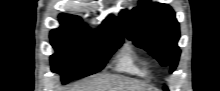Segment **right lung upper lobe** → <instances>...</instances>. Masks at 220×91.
<instances>
[{"instance_id": "1", "label": "right lung upper lobe", "mask_w": 220, "mask_h": 91, "mask_svg": "<svg viewBox=\"0 0 220 91\" xmlns=\"http://www.w3.org/2000/svg\"><path fill=\"white\" fill-rule=\"evenodd\" d=\"M59 21L62 28H74L81 27L88 29L83 23L82 20L74 15L61 14L59 16ZM97 32H117L122 36L121 26L117 18L113 15L108 16L101 24Z\"/></svg>"}]
</instances>
